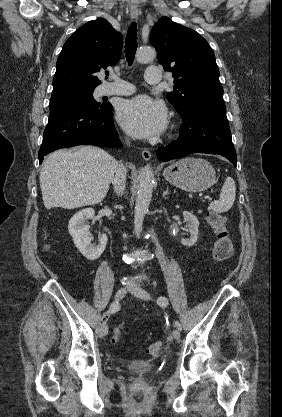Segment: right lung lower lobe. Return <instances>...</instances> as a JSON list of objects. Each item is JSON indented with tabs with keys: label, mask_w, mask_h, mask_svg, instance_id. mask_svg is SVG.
I'll list each match as a JSON object with an SVG mask.
<instances>
[{
	"label": "right lung lower lobe",
	"mask_w": 282,
	"mask_h": 417,
	"mask_svg": "<svg viewBox=\"0 0 282 417\" xmlns=\"http://www.w3.org/2000/svg\"><path fill=\"white\" fill-rule=\"evenodd\" d=\"M110 103L100 106L73 103L50 110L48 125L38 152L39 162L48 153L66 147L91 144L119 147Z\"/></svg>",
	"instance_id": "right-lung-lower-lobe-1"
}]
</instances>
